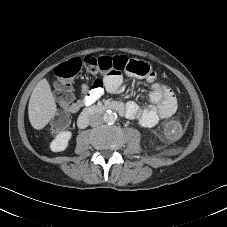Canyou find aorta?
<instances>
[{
	"label": "aorta",
	"instance_id": "762f6f07",
	"mask_svg": "<svg viewBox=\"0 0 227 227\" xmlns=\"http://www.w3.org/2000/svg\"><path fill=\"white\" fill-rule=\"evenodd\" d=\"M103 120L108 124H113L117 120V114L111 110H107L103 114Z\"/></svg>",
	"mask_w": 227,
	"mask_h": 227
}]
</instances>
